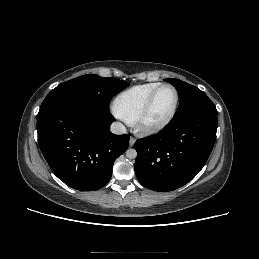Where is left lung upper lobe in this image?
Masks as SVG:
<instances>
[{
  "label": "left lung upper lobe",
  "mask_w": 259,
  "mask_h": 259,
  "mask_svg": "<svg viewBox=\"0 0 259 259\" xmlns=\"http://www.w3.org/2000/svg\"><path fill=\"white\" fill-rule=\"evenodd\" d=\"M165 81L172 84L177 89L180 96L179 107L175 115L200 109L217 111L214 103L197 87L174 78L165 79Z\"/></svg>",
  "instance_id": "5c2ea615"
}]
</instances>
